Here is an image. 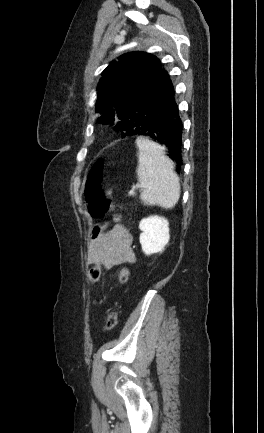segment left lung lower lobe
I'll list each match as a JSON object with an SVG mask.
<instances>
[{"label": "left lung lower lobe", "instance_id": "left-lung-lower-lobe-1", "mask_svg": "<svg viewBox=\"0 0 264 433\" xmlns=\"http://www.w3.org/2000/svg\"><path fill=\"white\" fill-rule=\"evenodd\" d=\"M127 136H146L165 146L176 162L182 164V121L175 92L167 71L162 73L138 96L120 121Z\"/></svg>", "mask_w": 264, "mask_h": 433}]
</instances>
